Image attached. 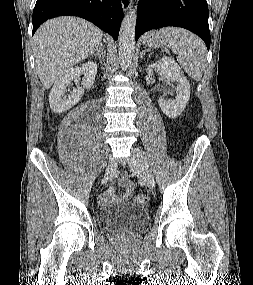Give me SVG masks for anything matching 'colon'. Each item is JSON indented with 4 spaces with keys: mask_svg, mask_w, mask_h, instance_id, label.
<instances>
[{
    "mask_svg": "<svg viewBox=\"0 0 253 285\" xmlns=\"http://www.w3.org/2000/svg\"><path fill=\"white\" fill-rule=\"evenodd\" d=\"M147 196L145 194H138L135 196L134 201L138 205H145L147 203Z\"/></svg>",
    "mask_w": 253,
    "mask_h": 285,
    "instance_id": "obj_1",
    "label": "colon"
}]
</instances>
